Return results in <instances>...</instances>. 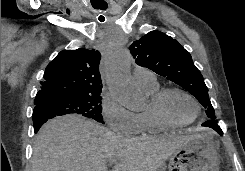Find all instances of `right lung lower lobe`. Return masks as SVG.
<instances>
[{
    "mask_svg": "<svg viewBox=\"0 0 245 171\" xmlns=\"http://www.w3.org/2000/svg\"><path fill=\"white\" fill-rule=\"evenodd\" d=\"M55 115L43 106H35L33 111L34 132L37 133L40 127Z\"/></svg>",
    "mask_w": 245,
    "mask_h": 171,
    "instance_id": "obj_1",
    "label": "right lung lower lobe"
}]
</instances>
